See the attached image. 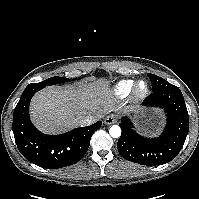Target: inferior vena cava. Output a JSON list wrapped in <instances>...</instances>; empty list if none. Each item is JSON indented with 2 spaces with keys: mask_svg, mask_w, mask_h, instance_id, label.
Here are the masks:
<instances>
[{
  "mask_svg": "<svg viewBox=\"0 0 199 199\" xmlns=\"http://www.w3.org/2000/svg\"><path fill=\"white\" fill-rule=\"evenodd\" d=\"M98 120V116L87 115L79 121L80 126H88L95 123Z\"/></svg>",
  "mask_w": 199,
  "mask_h": 199,
  "instance_id": "602c4592",
  "label": "inferior vena cava"
}]
</instances>
